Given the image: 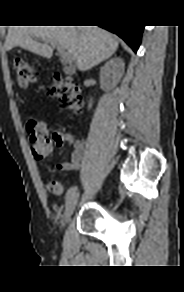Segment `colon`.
I'll list each match as a JSON object with an SVG mask.
<instances>
[{"mask_svg":"<svg viewBox=\"0 0 184 292\" xmlns=\"http://www.w3.org/2000/svg\"><path fill=\"white\" fill-rule=\"evenodd\" d=\"M13 71L17 83L22 87H26L37 80V72L33 64L27 59L15 58L13 60ZM48 95L57 97L64 109L80 112L83 107L80 88L71 79H62L55 76L52 86L48 90ZM27 132L32 144L34 158L38 161H44L48 158L52 148L47 125L36 118H31L27 122ZM47 189L51 193L61 194L63 185L59 181H50L47 184Z\"/></svg>","mask_w":184,"mask_h":292,"instance_id":"1","label":"colon"}]
</instances>
